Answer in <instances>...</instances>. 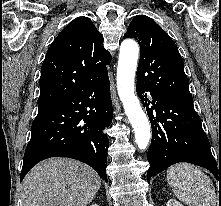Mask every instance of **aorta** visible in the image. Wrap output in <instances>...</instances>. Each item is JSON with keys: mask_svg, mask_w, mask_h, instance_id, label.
Here are the masks:
<instances>
[{"mask_svg": "<svg viewBox=\"0 0 221 206\" xmlns=\"http://www.w3.org/2000/svg\"><path fill=\"white\" fill-rule=\"evenodd\" d=\"M139 46L132 39L121 43L117 67V90L128 119L135 131V142L140 149L147 147L151 132L148 118L134 93Z\"/></svg>", "mask_w": 221, "mask_h": 206, "instance_id": "aorta-1", "label": "aorta"}]
</instances>
